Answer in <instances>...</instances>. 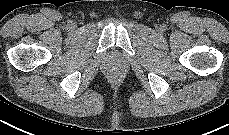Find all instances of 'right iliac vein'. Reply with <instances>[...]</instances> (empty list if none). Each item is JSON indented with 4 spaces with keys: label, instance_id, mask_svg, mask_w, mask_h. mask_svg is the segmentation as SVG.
I'll use <instances>...</instances> for the list:
<instances>
[{
    "label": "right iliac vein",
    "instance_id": "63e3f726",
    "mask_svg": "<svg viewBox=\"0 0 229 135\" xmlns=\"http://www.w3.org/2000/svg\"><path fill=\"white\" fill-rule=\"evenodd\" d=\"M70 27H71V28H74V25H73V24H71V25H70Z\"/></svg>",
    "mask_w": 229,
    "mask_h": 135
}]
</instances>
